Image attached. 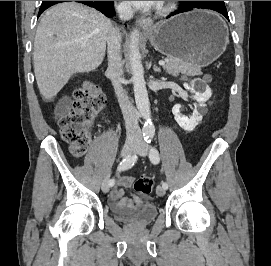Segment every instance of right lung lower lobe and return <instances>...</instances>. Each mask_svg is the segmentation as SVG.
Segmentation results:
<instances>
[{
  "instance_id": "1",
  "label": "right lung lower lobe",
  "mask_w": 271,
  "mask_h": 266,
  "mask_svg": "<svg viewBox=\"0 0 271 266\" xmlns=\"http://www.w3.org/2000/svg\"><path fill=\"white\" fill-rule=\"evenodd\" d=\"M61 2L65 1H42L38 16L50 6ZM76 2H80L90 7H93L102 12L107 17H112L115 14L113 1H76Z\"/></svg>"
}]
</instances>
